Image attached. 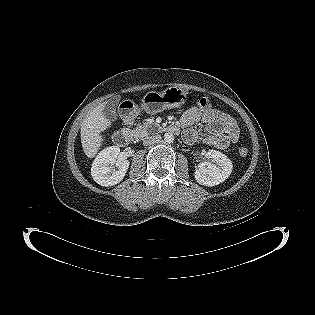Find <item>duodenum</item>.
<instances>
[{
  "label": "duodenum",
  "instance_id": "410a0bca",
  "mask_svg": "<svg viewBox=\"0 0 315 315\" xmlns=\"http://www.w3.org/2000/svg\"><path fill=\"white\" fill-rule=\"evenodd\" d=\"M125 122V121H124ZM130 122H125V127L116 131L113 135V141L116 145L124 147L128 145V143L131 140V129H130ZM167 131L173 134H178L179 133V128L175 125H170L167 127Z\"/></svg>",
  "mask_w": 315,
  "mask_h": 315
}]
</instances>
